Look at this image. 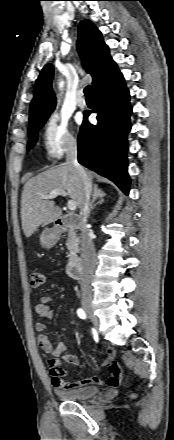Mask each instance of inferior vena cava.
Wrapping results in <instances>:
<instances>
[{
	"instance_id": "inferior-vena-cava-1",
	"label": "inferior vena cava",
	"mask_w": 174,
	"mask_h": 440,
	"mask_svg": "<svg viewBox=\"0 0 174 440\" xmlns=\"http://www.w3.org/2000/svg\"><path fill=\"white\" fill-rule=\"evenodd\" d=\"M66 161L69 164H72L83 185L84 198L82 207L80 209V215L82 218V228H81V251H82V259H83V272L81 278V291L82 295H91V279L93 276V271L95 268V248L92 238L89 236V231L86 227L87 218L90 214V205H91V195H92V185L89 181L86 171L79 164L77 159V145L76 142L71 141L68 144L66 151Z\"/></svg>"
}]
</instances>
